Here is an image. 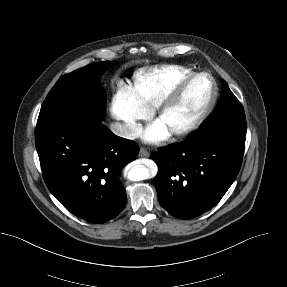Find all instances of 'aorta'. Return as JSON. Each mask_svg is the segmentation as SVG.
I'll return each mask as SVG.
<instances>
[{"label": "aorta", "instance_id": "762f6f07", "mask_svg": "<svg viewBox=\"0 0 287 287\" xmlns=\"http://www.w3.org/2000/svg\"><path fill=\"white\" fill-rule=\"evenodd\" d=\"M157 168L153 163H149L146 165H137L134 166L128 172V179L131 181H141L150 178L155 172Z\"/></svg>", "mask_w": 287, "mask_h": 287}]
</instances>
